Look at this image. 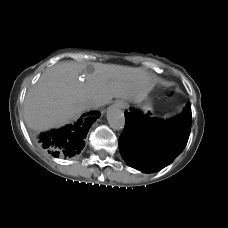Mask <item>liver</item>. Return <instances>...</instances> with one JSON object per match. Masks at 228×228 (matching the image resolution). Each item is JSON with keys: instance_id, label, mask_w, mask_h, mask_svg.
<instances>
[{"instance_id": "1", "label": "liver", "mask_w": 228, "mask_h": 228, "mask_svg": "<svg viewBox=\"0 0 228 228\" xmlns=\"http://www.w3.org/2000/svg\"><path fill=\"white\" fill-rule=\"evenodd\" d=\"M85 69L77 62H61L41 75L24 101L28 127L41 131L62 125L89 109L87 101L95 102V108L113 98L141 103L156 83L150 73L138 67L97 63L91 73Z\"/></svg>"}]
</instances>
